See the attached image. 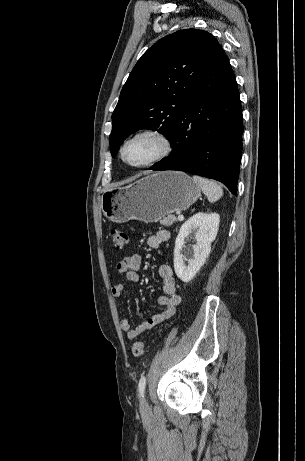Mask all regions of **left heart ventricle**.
<instances>
[{"label":"left heart ventricle","instance_id":"left-heart-ventricle-1","mask_svg":"<svg viewBox=\"0 0 305 461\" xmlns=\"http://www.w3.org/2000/svg\"><path fill=\"white\" fill-rule=\"evenodd\" d=\"M159 150L158 143L151 138H138L130 142L125 150V159L132 163H142L153 157Z\"/></svg>","mask_w":305,"mask_h":461}]
</instances>
